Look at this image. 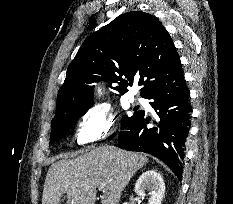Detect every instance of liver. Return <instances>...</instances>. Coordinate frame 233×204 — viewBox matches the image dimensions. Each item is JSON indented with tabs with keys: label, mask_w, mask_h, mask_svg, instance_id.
I'll return each instance as SVG.
<instances>
[{
	"label": "liver",
	"mask_w": 233,
	"mask_h": 204,
	"mask_svg": "<svg viewBox=\"0 0 233 204\" xmlns=\"http://www.w3.org/2000/svg\"><path fill=\"white\" fill-rule=\"evenodd\" d=\"M148 162L145 155L101 145L75 159H61L49 167L42 204H94L96 188L103 186L102 204H118L133 175Z\"/></svg>",
	"instance_id": "6515ba94"
}]
</instances>
